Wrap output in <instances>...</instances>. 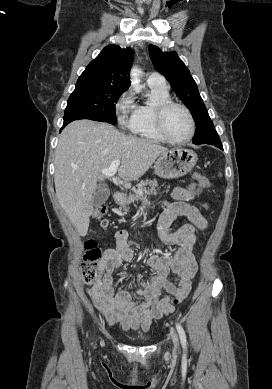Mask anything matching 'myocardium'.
I'll use <instances>...</instances> for the list:
<instances>
[{
	"instance_id": "myocardium-1",
	"label": "myocardium",
	"mask_w": 272,
	"mask_h": 389,
	"mask_svg": "<svg viewBox=\"0 0 272 389\" xmlns=\"http://www.w3.org/2000/svg\"><path fill=\"white\" fill-rule=\"evenodd\" d=\"M171 107H179L183 109L189 119L190 122V133L187 137L183 139H175L171 137L165 128V115L166 112L171 108ZM154 120H155V126L157 131L160 133V135L168 142L175 143V144H183L189 142L195 135L196 131V124L194 117L190 111V109L184 105L183 103L173 101V100H167L162 103H160L156 108L154 112Z\"/></svg>"
}]
</instances>
